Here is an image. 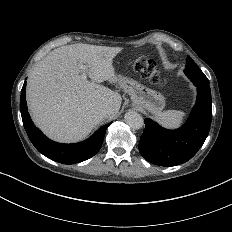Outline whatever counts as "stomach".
<instances>
[{"mask_svg": "<svg viewBox=\"0 0 232 232\" xmlns=\"http://www.w3.org/2000/svg\"><path fill=\"white\" fill-rule=\"evenodd\" d=\"M121 88L131 97L134 106L144 108L152 114H159L165 107V97L158 91L147 88L137 81L124 77H116Z\"/></svg>", "mask_w": 232, "mask_h": 232, "instance_id": "stomach-1", "label": "stomach"}]
</instances>
